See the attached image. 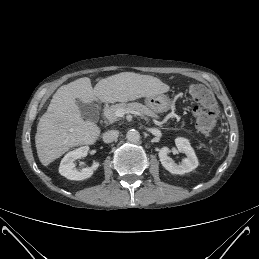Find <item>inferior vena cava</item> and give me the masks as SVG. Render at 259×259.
Here are the masks:
<instances>
[{
  "mask_svg": "<svg viewBox=\"0 0 259 259\" xmlns=\"http://www.w3.org/2000/svg\"><path fill=\"white\" fill-rule=\"evenodd\" d=\"M118 135V130H108L107 132L103 133L102 138L105 143H111L118 138Z\"/></svg>",
  "mask_w": 259,
  "mask_h": 259,
  "instance_id": "602c4592",
  "label": "inferior vena cava"
}]
</instances>
